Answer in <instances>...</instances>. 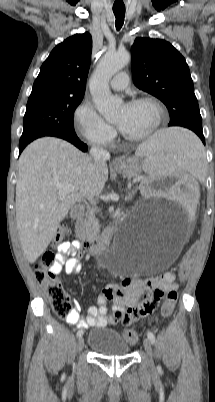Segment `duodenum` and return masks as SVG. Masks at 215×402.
Returning a JSON list of instances; mask_svg holds the SVG:
<instances>
[{
  "mask_svg": "<svg viewBox=\"0 0 215 402\" xmlns=\"http://www.w3.org/2000/svg\"><path fill=\"white\" fill-rule=\"evenodd\" d=\"M83 216V209L75 207L71 212V217L74 221H79ZM111 233L107 232L103 238L89 239L84 242L85 249L92 255H99L104 252L110 244Z\"/></svg>",
  "mask_w": 215,
  "mask_h": 402,
  "instance_id": "1",
  "label": "duodenum"
}]
</instances>
